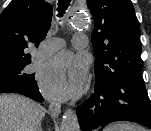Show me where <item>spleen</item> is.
Masks as SVG:
<instances>
[{
    "instance_id": "spleen-1",
    "label": "spleen",
    "mask_w": 151,
    "mask_h": 131,
    "mask_svg": "<svg viewBox=\"0 0 151 131\" xmlns=\"http://www.w3.org/2000/svg\"><path fill=\"white\" fill-rule=\"evenodd\" d=\"M103 131H144V129L130 123H113L106 126Z\"/></svg>"
}]
</instances>
